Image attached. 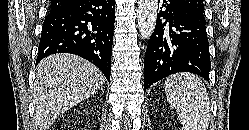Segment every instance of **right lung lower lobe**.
<instances>
[{
  "instance_id": "obj_1",
  "label": "right lung lower lobe",
  "mask_w": 249,
  "mask_h": 130,
  "mask_svg": "<svg viewBox=\"0 0 249 130\" xmlns=\"http://www.w3.org/2000/svg\"><path fill=\"white\" fill-rule=\"evenodd\" d=\"M115 0H76L44 20L36 63L71 53L95 64L110 81Z\"/></svg>"
}]
</instances>
